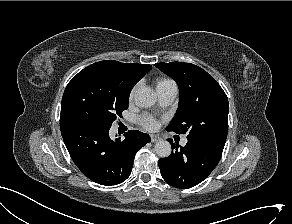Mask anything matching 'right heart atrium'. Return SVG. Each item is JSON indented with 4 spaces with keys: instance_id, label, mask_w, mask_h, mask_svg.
I'll use <instances>...</instances> for the list:
<instances>
[{
    "instance_id": "1",
    "label": "right heart atrium",
    "mask_w": 292,
    "mask_h": 224,
    "mask_svg": "<svg viewBox=\"0 0 292 224\" xmlns=\"http://www.w3.org/2000/svg\"><path fill=\"white\" fill-rule=\"evenodd\" d=\"M137 87H138V85L134 86V87L132 88V90L130 91V94H129V98H130V99H132V98L134 97V94H135V92H136V90H137Z\"/></svg>"
}]
</instances>
